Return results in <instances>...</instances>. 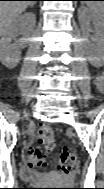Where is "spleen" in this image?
Listing matches in <instances>:
<instances>
[{
    "label": "spleen",
    "instance_id": "3e777b00",
    "mask_svg": "<svg viewBox=\"0 0 104 189\" xmlns=\"http://www.w3.org/2000/svg\"><path fill=\"white\" fill-rule=\"evenodd\" d=\"M86 4L89 7V9L95 13L103 12L102 1H87Z\"/></svg>",
    "mask_w": 104,
    "mask_h": 189
}]
</instances>
